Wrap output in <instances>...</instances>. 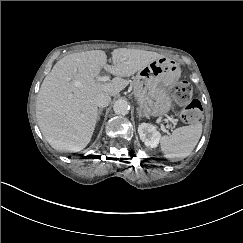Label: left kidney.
<instances>
[{
  "label": "left kidney",
  "mask_w": 243,
  "mask_h": 243,
  "mask_svg": "<svg viewBox=\"0 0 243 243\" xmlns=\"http://www.w3.org/2000/svg\"><path fill=\"white\" fill-rule=\"evenodd\" d=\"M138 133L140 139L147 147L156 148L161 139V134L157 131L156 127L149 123H141L138 126Z\"/></svg>",
  "instance_id": "5707ae66"
}]
</instances>
